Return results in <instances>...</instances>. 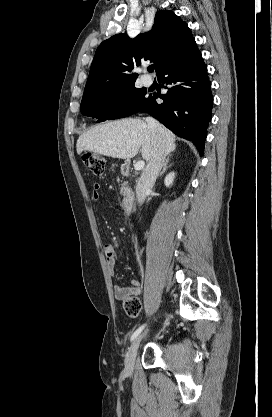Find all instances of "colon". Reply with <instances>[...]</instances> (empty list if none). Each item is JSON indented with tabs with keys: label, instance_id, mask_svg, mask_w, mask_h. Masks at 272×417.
I'll use <instances>...</instances> for the list:
<instances>
[{
	"label": "colon",
	"instance_id": "obj_1",
	"mask_svg": "<svg viewBox=\"0 0 272 417\" xmlns=\"http://www.w3.org/2000/svg\"><path fill=\"white\" fill-rule=\"evenodd\" d=\"M85 167L94 175L101 176L105 172V159L95 153H86L82 157ZM124 309L130 317H137L141 311V302L137 297H128L124 300Z\"/></svg>",
	"mask_w": 272,
	"mask_h": 417
}]
</instances>
